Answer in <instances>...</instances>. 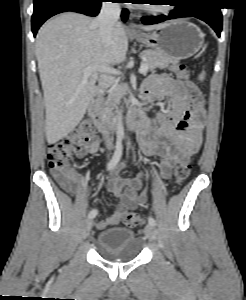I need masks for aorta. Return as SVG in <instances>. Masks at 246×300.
Returning a JSON list of instances; mask_svg holds the SVG:
<instances>
[{
    "label": "aorta",
    "instance_id": "aorta-1",
    "mask_svg": "<svg viewBox=\"0 0 246 300\" xmlns=\"http://www.w3.org/2000/svg\"><path fill=\"white\" fill-rule=\"evenodd\" d=\"M116 134H117V138L119 139H122L125 136L123 122H122V110H119L117 113Z\"/></svg>",
    "mask_w": 246,
    "mask_h": 300
}]
</instances>
